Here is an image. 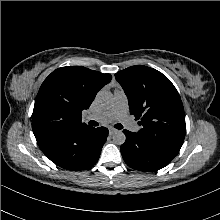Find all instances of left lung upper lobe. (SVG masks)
Segmentation results:
<instances>
[{"label":"left lung upper lobe","mask_w":220,"mask_h":220,"mask_svg":"<svg viewBox=\"0 0 220 220\" xmlns=\"http://www.w3.org/2000/svg\"><path fill=\"white\" fill-rule=\"evenodd\" d=\"M129 102L130 114L140 120L136 134L178 154L186 125L181 98L172 82L161 72L143 65L115 74Z\"/></svg>","instance_id":"left-lung-upper-lobe-1"}]
</instances>
